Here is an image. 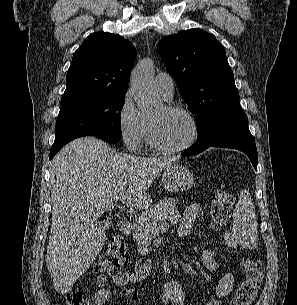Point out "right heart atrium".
<instances>
[{
	"label": "right heart atrium",
	"instance_id": "right-heart-atrium-1",
	"mask_svg": "<svg viewBox=\"0 0 297 305\" xmlns=\"http://www.w3.org/2000/svg\"><path fill=\"white\" fill-rule=\"evenodd\" d=\"M118 130L126 148L140 151L148 134V123L136 108L131 91L124 94L117 113Z\"/></svg>",
	"mask_w": 297,
	"mask_h": 305
}]
</instances>
